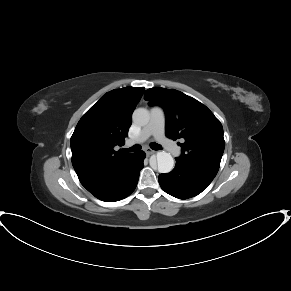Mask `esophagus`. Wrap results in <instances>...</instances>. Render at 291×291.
Returning <instances> with one entry per match:
<instances>
[{
  "label": "esophagus",
  "mask_w": 291,
  "mask_h": 291,
  "mask_svg": "<svg viewBox=\"0 0 291 291\" xmlns=\"http://www.w3.org/2000/svg\"><path fill=\"white\" fill-rule=\"evenodd\" d=\"M145 152H146V155H147V156H150V155H152V154L155 153L153 150H151V149H149V148H146V149H145Z\"/></svg>",
  "instance_id": "esophagus-1"
}]
</instances>
